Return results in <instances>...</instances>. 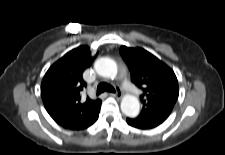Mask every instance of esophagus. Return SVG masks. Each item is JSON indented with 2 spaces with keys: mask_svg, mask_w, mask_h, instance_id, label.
<instances>
[{
  "mask_svg": "<svg viewBox=\"0 0 225 155\" xmlns=\"http://www.w3.org/2000/svg\"><path fill=\"white\" fill-rule=\"evenodd\" d=\"M110 95L120 99L122 97V92L117 90L115 93H110Z\"/></svg>",
  "mask_w": 225,
  "mask_h": 155,
  "instance_id": "1",
  "label": "esophagus"
}]
</instances>
